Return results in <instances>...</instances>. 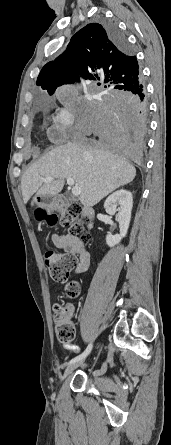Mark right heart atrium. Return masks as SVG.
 Listing matches in <instances>:
<instances>
[{"label": "right heart atrium", "mask_w": 171, "mask_h": 445, "mask_svg": "<svg viewBox=\"0 0 171 445\" xmlns=\"http://www.w3.org/2000/svg\"><path fill=\"white\" fill-rule=\"evenodd\" d=\"M75 116L68 104L59 108L53 117L51 138L53 140L64 139L74 124Z\"/></svg>", "instance_id": "d8ad5b80"}]
</instances>
